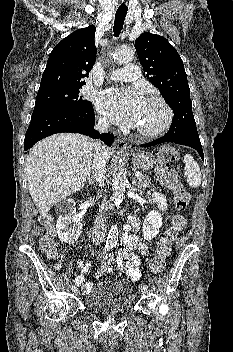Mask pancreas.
<instances>
[{"label": "pancreas", "instance_id": "pancreas-1", "mask_svg": "<svg viewBox=\"0 0 233 352\" xmlns=\"http://www.w3.org/2000/svg\"><path fill=\"white\" fill-rule=\"evenodd\" d=\"M150 177L147 175H141L140 177H138V184L142 187H146L147 185L150 184Z\"/></svg>", "mask_w": 233, "mask_h": 352}]
</instances>
